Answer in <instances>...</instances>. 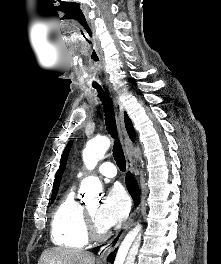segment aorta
I'll return each instance as SVG.
<instances>
[{
    "instance_id": "obj_1",
    "label": "aorta",
    "mask_w": 221,
    "mask_h": 264,
    "mask_svg": "<svg viewBox=\"0 0 221 264\" xmlns=\"http://www.w3.org/2000/svg\"><path fill=\"white\" fill-rule=\"evenodd\" d=\"M110 147V140L101 138L90 141L83 150V162L88 170H93ZM81 190L86 199L102 192L101 182L97 177L89 176L82 180ZM141 243L140 230L130 232L121 243L114 264H134Z\"/></svg>"
}]
</instances>
